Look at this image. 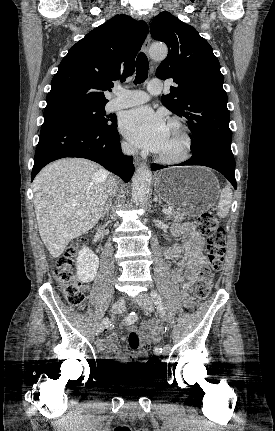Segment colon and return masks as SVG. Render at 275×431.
<instances>
[{"label":"colon","mask_w":275,"mask_h":431,"mask_svg":"<svg viewBox=\"0 0 275 431\" xmlns=\"http://www.w3.org/2000/svg\"><path fill=\"white\" fill-rule=\"evenodd\" d=\"M198 225L201 232L207 235L208 257V265L200 270L195 287L196 300L201 301L210 293L214 277L213 271L220 269L223 263L225 235L223 228L211 213H203L198 219ZM82 244L85 243L82 242ZM77 255L78 249L76 248H71L61 255L54 269V278L61 294L68 303L73 307L82 308L85 301L86 286L78 280L75 274ZM128 343L133 350L142 348L145 353L151 350V344L142 343L136 332L129 334ZM148 363L156 365L158 363L157 357H152Z\"/></svg>","instance_id":"obj_1"}]
</instances>
